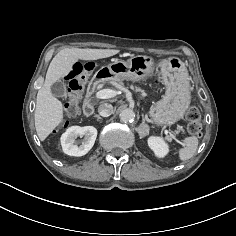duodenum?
Returning a JSON list of instances; mask_svg holds the SVG:
<instances>
[{"mask_svg":"<svg viewBox=\"0 0 236 236\" xmlns=\"http://www.w3.org/2000/svg\"><path fill=\"white\" fill-rule=\"evenodd\" d=\"M106 76H97L94 80H92L87 87V100L85 103V113L90 116L93 114V104L91 102V97L96 93L98 85L106 80Z\"/></svg>","mask_w":236,"mask_h":236,"instance_id":"410a0bca","label":"duodenum"}]
</instances>
